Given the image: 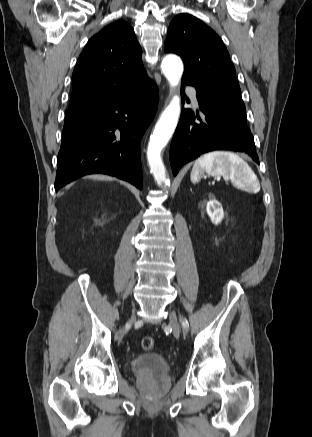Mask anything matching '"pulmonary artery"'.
I'll use <instances>...</instances> for the list:
<instances>
[{
	"label": "pulmonary artery",
	"instance_id": "pulmonary-artery-1",
	"mask_svg": "<svg viewBox=\"0 0 312 437\" xmlns=\"http://www.w3.org/2000/svg\"><path fill=\"white\" fill-rule=\"evenodd\" d=\"M188 93H189V95H190V97L192 99L193 104L195 106H197L198 105V101H197V98H196V91H195V89L189 88L188 89Z\"/></svg>",
	"mask_w": 312,
	"mask_h": 437
}]
</instances>
